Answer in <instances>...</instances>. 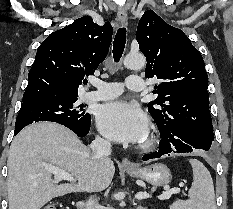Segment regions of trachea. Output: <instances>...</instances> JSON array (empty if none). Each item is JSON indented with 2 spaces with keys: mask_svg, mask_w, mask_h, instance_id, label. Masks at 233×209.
I'll list each match as a JSON object with an SVG mask.
<instances>
[{
  "mask_svg": "<svg viewBox=\"0 0 233 209\" xmlns=\"http://www.w3.org/2000/svg\"><path fill=\"white\" fill-rule=\"evenodd\" d=\"M126 43V28H119L113 42V58L116 62L120 60Z\"/></svg>",
  "mask_w": 233,
  "mask_h": 209,
  "instance_id": "obj_1",
  "label": "trachea"
}]
</instances>
